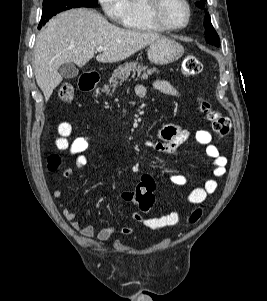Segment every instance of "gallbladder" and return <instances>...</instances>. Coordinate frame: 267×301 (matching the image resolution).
Returning a JSON list of instances; mask_svg holds the SVG:
<instances>
[{"label": "gallbladder", "mask_w": 267, "mask_h": 301, "mask_svg": "<svg viewBox=\"0 0 267 301\" xmlns=\"http://www.w3.org/2000/svg\"><path fill=\"white\" fill-rule=\"evenodd\" d=\"M59 74L65 79L77 77L79 70L74 63H64L58 69Z\"/></svg>", "instance_id": "1"}]
</instances>
